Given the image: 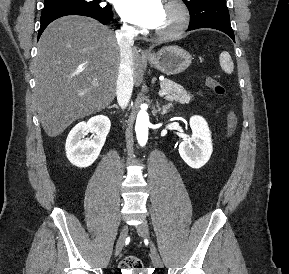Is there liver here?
Here are the masks:
<instances>
[{"label":"liver","instance_id":"obj_1","mask_svg":"<svg viewBox=\"0 0 289 274\" xmlns=\"http://www.w3.org/2000/svg\"><path fill=\"white\" fill-rule=\"evenodd\" d=\"M34 59L38 116L49 137L74 121L98 113L114 100L120 49L114 32L98 21L66 16L52 22L39 39ZM135 84L142 60L132 48Z\"/></svg>","mask_w":289,"mask_h":274}]
</instances>
